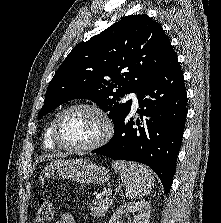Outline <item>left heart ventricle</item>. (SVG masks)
Returning <instances> with one entry per match:
<instances>
[{"mask_svg":"<svg viewBox=\"0 0 221 223\" xmlns=\"http://www.w3.org/2000/svg\"><path fill=\"white\" fill-rule=\"evenodd\" d=\"M103 131V121L96 113L76 109L62 118L59 138L66 145L85 146L98 139Z\"/></svg>","mask_w":221,"mask_h":223,"instance_id":"obj_1","label":"left heart ventricle"}]
</instances>
